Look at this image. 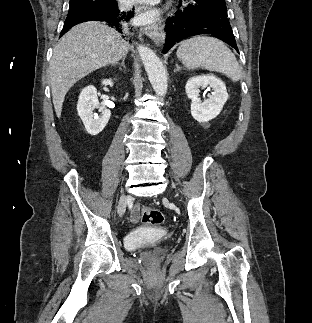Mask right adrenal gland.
Listing matches in <instances>:
<instances>
[{
    "label": "right adrenal gland",
    "instance_id": "obj_1",
    "mask_svg": "<svg viewBox=\"0 0 312 323\" xmlns=\"http://www.w3.org/2000/svg\"><path fill=\"white\" fill-rule=\"evenodd\" d=\"M115 66H123L125 68V58H123L121 64H115Z\"/></svg>",
    "mask_w": 312,
    "mask_h": 323
}]
</instances>
